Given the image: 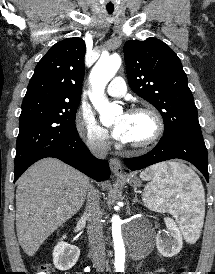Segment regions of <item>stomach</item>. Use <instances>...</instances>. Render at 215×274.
<instances>
[{
	"label": "stomach",
	"instance_id": "obj_1",
	"mask_svg": "<svg viewBox=\"0 0 215 274\" xmlns=\"http://www.w3.org/2000/svg\"><path fill=\"white\" fill-rule=\"evenodd\" d=\"M169 163H172V162H168L167 164H169ZM130 183L132 184L133 187H138V186L141 185V181H140V179L137 178V177L131 178V179H130Z\"/></svg>",
	"mask_w": 215,
	"mask_h": 274
}]
</instances>
